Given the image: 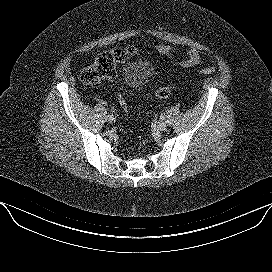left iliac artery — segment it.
I'll return each instance as SVG.
<instances>
[{
	"label": "left iliac artery",
	"mask_w": 272,
	"mask_h": 272,
	"mask_svg": "<svg viewBox=\"0 0 272 272\" xmlns=\"http://www.w3.org/2000/svg\"><path fill=\"white\" fill-rule=\"evenodd\" d=\"M160 119H161V120H165V116H164V115H161V116H160Z\"/></svg>",
	"instance_id": "obj_1"
}]
</instances>
